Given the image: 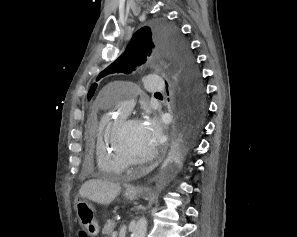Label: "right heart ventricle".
Here are the masks:
<instances>
[{"instance_id": "e07e8e85", "label": "right heart ventricle", "mask_w": 297, "mask_h": 237, "mask_svg": "<svg viewBox=\"0 0 297 237\" xmlns=\"http://www.w3.org/2000/svg\"><path fill=\"white\" fill-rule=\"evenodd\" d=\"M124 116L103 115L97 126L95 140V157L100 171L108 175L119 174L123 172L127 165L116 152L113 146V134L116 125Z\"/></svg>"}]
</instances>
